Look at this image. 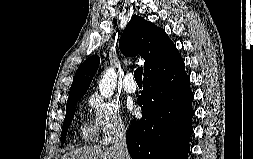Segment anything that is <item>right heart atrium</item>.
<instances>
[{
  "label": "right heart atrium",
  "mask_w": 253,
  "mask_h": 159,
  "mask_svg": "<svg viewBox=\"0 0 253 159\" xmlns=\"http://www.w3.org/2000/svg\"><path fill=\"white\" fill-rule=\"evenodd\" d=\"M89 106L93 113L92 127L99 142L109 143L125 132L126 125L116 103L99 94H92L89 97Z\"/></svg>",
  "instance_id": "1"
}]
</instances>
